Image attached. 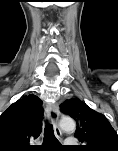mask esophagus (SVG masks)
Segmentation results:
<instances>
[{
	"instance_id": "34e87169",
	"label": "esophagus",
	"mask_w": 118,
	"mask_h": 151,
	"mask_svg": "<svg viewBox=\"0 0 118 151\" xmlns=\"http://www.w3.org/2000/svg\"><path fill=\"white\" fill-rule=\"evenodd\" d=\"M46 113L50 121L52 122L57 136L61 135V131L58 127L59 109L55 104H48L46 107Z\"/></svg>"
}]
</instances>
